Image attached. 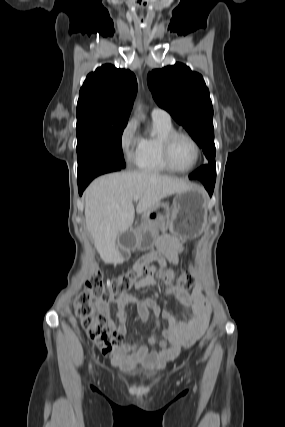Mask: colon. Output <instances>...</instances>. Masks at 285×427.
I'll list each match as a JSON object with an SVG mask.
<instances>
[{
  "mask_svg": "<svg viewBox=\"0 0 285 427\" xmlns=\"http://www.w3.org/2000/svg\"><path fill=\"white\" fill-rule=\"evenodd\" d=\"M125 243L129 245L131 241ZM142 268L151 274L156 271V267L149 263H144ZM165 274L167 282L176 277V281H174L185 290H190L197 284L196 266H190L187 271L182 273L168 270ZM134 278L135 272L127 271L105 281L102 272L97 268H92L81 293L75 299V311L81 327L106 353H111L122 342V338L106 325L105 319L96 312L95 303L97 301L108 303L125 293L132 286Z\"/></svg>",
  "mask_w": 285,
  "mask_h": 427,
  "instance_id": "obj_1",
  "label": "colon"
}]
</instances>
